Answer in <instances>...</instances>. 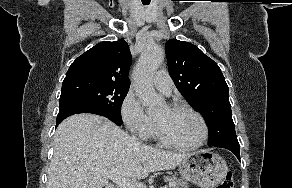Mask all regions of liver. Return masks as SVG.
I'll return each instance as SVG.
<instances>
[{
  "instance_id": "liver-1",
  "label": "liver",
  "mask_w": 292,
  "mask_h": 188,
  "mask_svg": "<svg viewBox=\"0 0 292 188\" xmlns=\"http://www.w3.org/2000/svg\"><path fill=\"white\" fill-rule=\"evenodd\" d=\"M187 156L137 143L104 117L76 114L55 132L47 188H103L107 172L144 179L151 172L176 168ZM94 169L102 173L94 174Z\"/></svg>"
}]
</instances>
